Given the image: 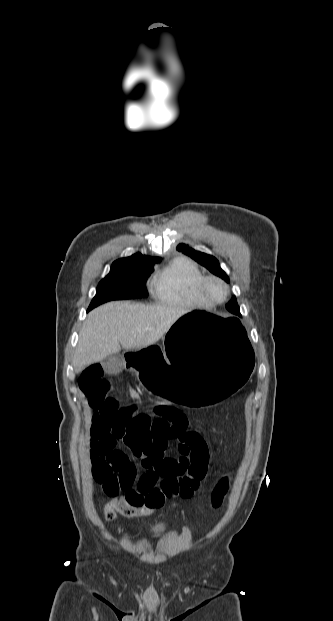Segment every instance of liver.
Returning a JSON list of instances; mask_svg holds the SVG:
<instances>
[{"label":"liver","instance_id":"1","mask_svg":"<svg viewBox=\"0 0 333 621\" xmlns=\"http://www.w3.org/2000/svg\"><path fill=\"white\" fill-rule=\"evenodd\" d=\"M166 306L109 302L88 314L79 333L73 366L81 370L109 355L156 343L184 314Z\"/></svg>","mask_w":333,"mask_h":621}]
</instances>
